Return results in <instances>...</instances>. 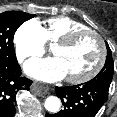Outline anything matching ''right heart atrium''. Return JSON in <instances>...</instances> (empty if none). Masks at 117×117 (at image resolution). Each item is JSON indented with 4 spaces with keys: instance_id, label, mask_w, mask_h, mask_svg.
Wrapping results in <instances>:
<instances>
[{
    "instance_id": "right-heart-atrium-1",
    "label": "right heart atrium",
    "mask_w": 117,
    "mask_h": 117,
    "mask_svg": "<svg viewBox=\"0 0 117 117\" xmlns=\"http://www.w3.org/2000/svg\"><path fill=\"white\" fill-rule=\"evenodd\" d=\"M14 44L21 62L41 56L45 52V40L40 23L36 20L23 23L14 35Z\"/></svg>"
}]
</instances>
